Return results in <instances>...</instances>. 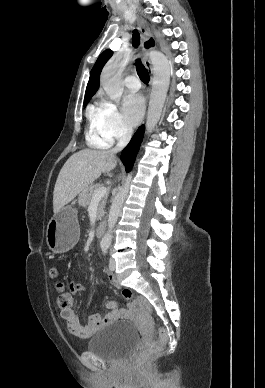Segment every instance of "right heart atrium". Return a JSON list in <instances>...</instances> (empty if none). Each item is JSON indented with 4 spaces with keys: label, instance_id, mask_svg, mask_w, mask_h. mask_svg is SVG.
I'll return each mask as SVG.
<instances>
[{
    "label": "right heart atrium",
    "instance_id": "d8ad5b80",
    "mask_svg": "<svg viewBox=\"0 0 265 388\" xmlns=\"http://www.w3.org/2000/svg\"><path fill=\"white\" fill-rule=\"evenodd\" d=\"M94 109L99 129L106 138L121 139L131 133V126L124 120L118 107L112 101L100 99Z\"/></svg>",
    "mask_w": 265,
    "mask_h": 388
}]
</instances>
